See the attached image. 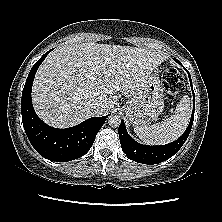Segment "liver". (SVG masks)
Here are the masks:
<instances>
[{"label": "liver", "mask_w": 222, "mask_h": 222, "mask_svg": "<svg viewBox=\"0 0 222 222\" xmlns=\"http://www.w3.org/2000/svg\"><path fill=\"white\" fill-rule=\"evenodd\" d=\"M167 56L159 51L93 42L54 49L39 67L32 88L38 116L68 128L108 112L122 95L135 96ZM101 103L92 112L86 105Z\"/></svg>", "instance_id": "obj_1"}]
</instances>
